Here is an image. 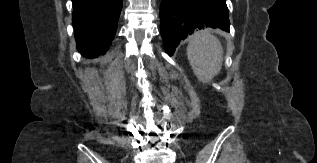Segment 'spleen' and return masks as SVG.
Segmentation results:
<instances>
[{"mask_svg":"<svg viewBox=\"0 0 317 163\" xmlns=\"http://www.w3.org/2000/svg\"><path fill=\"white\" fill-rule=\"evenodd\" d=\"M187 57L196 77L206 83L221 69L223 48L215 36L202 30L189 38Z\"/></svg>","mask_w":317,"mask_h":163,"instance_id":"3e777b00","label":"spleen"}]
</instances>
